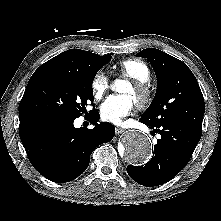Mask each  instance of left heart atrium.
Wrapping results in <instances>:
<instances>
[{
    "instance_id": "obj_1",
    "label": "left heart atrium",
    "mask_w": 221,
    "mask_h": 221,
    "mask_svg": "<svg viewBox=\"0 0 221 221\" xmlns=\"http://www.w3.org/2000/svg\"><path fill=\"white\" fill-rule=\"evenodd\" d=\"M134 109V102L128 95L109 96L100 106V115L103 120L113 124H121L122 119Z\"/></svg>"
}]
</instances>
